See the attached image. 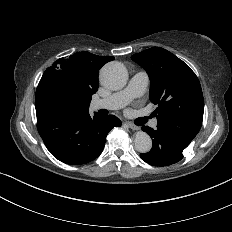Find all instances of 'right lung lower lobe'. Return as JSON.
<instances>
[{
  "label": "right lung lower lobe",
  "instance_id": "obj_1",
  "mask_svg": "<svg viewBox=\"0 0 232 232\" xmlns=\"http://www.w3.org/2000/svg\"><path fill=\"white\" fill-rule=\"evenodd\" d=\"M37 129L50 153L66 164L80 165L96 159L106 136L121 126L114 115H89L88 110H74L55 103L36 106Z\"/></svg>",
  "mask_w": 232,
  "mask_h": 232
}]
</instances>
